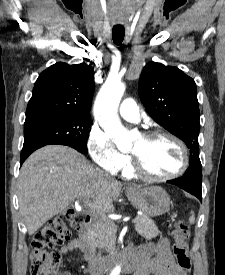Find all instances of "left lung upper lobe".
<instances>
[{
    "label": "left lung upper lobe",
    "instance_id": "left-lung-upper-lobe-1",
    "mask_svg": "<svg viewBox=\"0 0 225 275\" xmlns=\"http://www.w3.org/2000/svg\"><path fill=\"white\" fill-rule=\"evenodd\" d=\"M139 94L149 115L190 149V164L200 163L195 81L176 67L149 62L139 80Z\"/></svg>",
    "mask_w": 225,
    "mask_h": 275
}]
</instances>
